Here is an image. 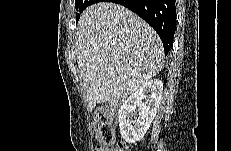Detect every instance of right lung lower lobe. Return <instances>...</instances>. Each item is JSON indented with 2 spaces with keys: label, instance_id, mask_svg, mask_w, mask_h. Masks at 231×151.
I'll return each instance as SVG.
<instances>
[{
  "label": "right lung lower lobe",
  "instance_id": "1",
  "mask_svg": "<svg viewBox=\"0 0 231 151\" xmlns=\"http://www.w3.org/2000/svg\"><path fill=\"white\" fill-rule=\"evenodd\" d=\"M98 2L102 0L92 1L93 4ZM109 2L127 7L152 26L162 40L165 54H168L176 27L175 0H109Z\"/></svg>",
  "mask_w": 231,
  "mask_h": 151
}]
</instances>
